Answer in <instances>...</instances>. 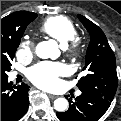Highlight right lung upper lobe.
<instances>
[{
	"mask_svg": "<svg viewBox=\"0 0 121 121\" xmlns=\"http://www.w3.org/2000/svg\"><path fill=\"white\" fill-rule=\"evenodd\" d=\"M34 15L35 13H32V12L18 11V12H14L2 18L1 19V34H3L5 31L10 29L11 27L21 23L22 21L32 18ZM1 49H7V47L4 44H1Z\"/></svg>",
	"mask_w": 121,
	"mask_h": 121,
	"instance_id": "1",
	"label": "right lung upper lobe"
}]
</instances>
